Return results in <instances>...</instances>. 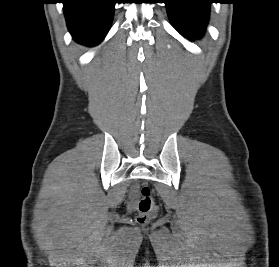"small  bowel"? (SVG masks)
Masks as SVG:
<instances>
[{"instance_id": "small-bowel-1", "label": "small bowel", "mask_w": 279, "mask_h": 267, "mask_svg": "<svg viewBox=\"0 0 279 267\" xmlns=\"http://www.w3.org/2000/svg\"><path fill=\"white\" fill-rule=\"evenodd\" d=\"M135 198H136V193L133 192V193H132V199H135Z\"/></svg>"}]
</instances>
